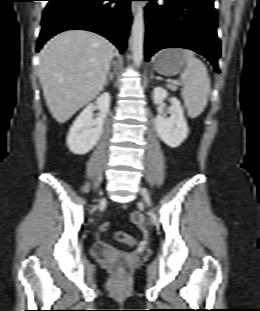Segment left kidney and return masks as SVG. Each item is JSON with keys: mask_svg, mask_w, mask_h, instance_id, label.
I'll list each match as a JSON object with an SVG mask.
<instances>
[{"mask_svg": "<svg viewBox=\"0 0 260 311\" xmlns=\"http://www.w3.org/2000/svg\"><path fill=\"white\" fill-rule=\"evenodd\" d=\"M167 96L168 92L165 89L156 87L152 95L154 104H161ZM169 110L171 117L165 118L160 113L154 119V125L160 139L168 146L175 148L187 138L189 129L183 108L176 97L171 98Z\"/></svg>", "mask_w": 260, "mask_h": 311, "instance_id": "1", "label": "left kidney"}]
</instances>
